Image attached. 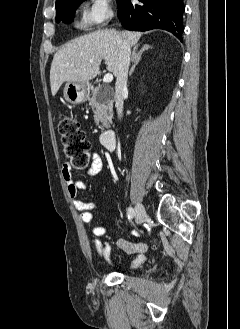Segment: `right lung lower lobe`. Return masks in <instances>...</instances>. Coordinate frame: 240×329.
<instances>
[{
  "instance_id": "1",
  "label": "right lung lower lobe",
  "mask_w": 240,
  "mask_h": 329,
  "mask_svg": "<svg viewBox=\"0 0 240 329\" xmlns=\"http://www.w3.org/2000/svg\"><path fill=\"white\" fill-rule=\"evenodd\" d=\"M133 5L130 0H122L118 5V17L127 30L146 31L155 28L173 33L182 41L183 0H139Z\"/></svg>"
}]
</instances>
